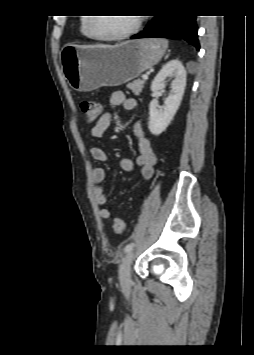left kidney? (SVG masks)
<instances>
[{
    "label": "left kidney",
    "mask_w": 254,
    "mask_h": 355,
    "mask_svg": "<svg viewBox=\"0 0 254 355\" xmlns=\"http://www.w3.org/2000/svg\"><path fill=\"white\" fill-rule=\"evenodd\" d=\"M174 77L171 83V91L164 101L163 109H160L157 99H153L149 106V130L153 135H160L166 130L175 116L186 87V70L178 59L166 63L154 78L151 90L158 93L165 86V80Z\"/></svg>",
    "instance_id": "obj_1"
}]
</instances>
